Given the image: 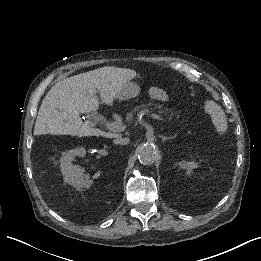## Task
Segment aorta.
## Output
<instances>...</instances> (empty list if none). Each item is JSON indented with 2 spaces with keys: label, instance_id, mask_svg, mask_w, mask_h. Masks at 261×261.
<instances>
[{
  "label": "aorta",
  "instance_id": "1",
  "mask_svg": "<svg viewBox=\"0 0 261 261\" xmlns=\"http://www.w3.org/2000/svg\"><path fill=\"white\" fill-rule=\"evenodd\" d=\"M138 159L143 165H152L156 160L155 147L150 144L140 145L137 148Z\"/></svg>",
  "mask_w": 261,
  "mask_h": 261
}]
</instances>
